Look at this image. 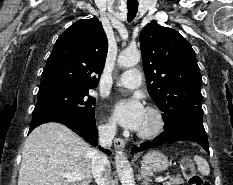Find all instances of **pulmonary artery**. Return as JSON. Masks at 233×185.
<instances>
[{"instance_id":"1","label":"pulmonary artery","mask_w":233,"mask_h":185,"mask_svg":"<svg viewBox=\"0 0 233 185\" xmlns=\"http://www.w3.org/2000/svg\"><path fill=\"white\" fill-rule=\"evenodd\" d=\"M141 83H142L141 71L137 68H132L123 72L121 76L116 80L115 85L128 89H134L139 87Z\"/></svg>"}]
</instances>
